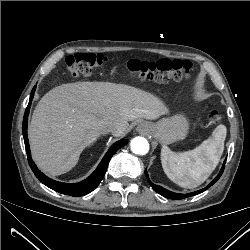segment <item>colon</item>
Returning <instances> with one entry per match:
<instances>
[{
  "label": "colon",
  "mask_w": 250,
  "mask_h": 250,
  "mask_svg": "<svg viewBox=\"0 0 250 250\" xmlns=\"http://www.w3.org/2000/svg\"><path fill=\"white\" fill-rule=\"evenodd\" d=\"M106 63L105 56L94 53H78L69 56L66 62L67 70L73 77L91 76ZM125 68L132 76L141 80L167 83L188 79L192 64L186 60L161 59L146 62L129 59L125 62ZM208 120L211 125L215 126L219 123L220 116L216 111H212Z\"/></svg>",
  "instance_id": "colon-1"
}]
</instances>
